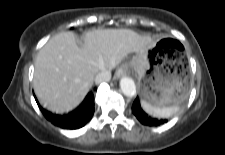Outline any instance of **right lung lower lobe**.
I'll list each match as a JSON object with an SVG mask.
<instances>
[{"label":"right lung lower lobe","instance_id":"obj_1","mask_svg":"<svg viewBox=\"0 0 225 155\" xmlns=\"http://www.w3.org/2000/svg\"><path fill=\"white\" fill-rule=\"evenodd\" d=\"M41 112L52 124L64 129H78L83 127L94 114V98L92 92L84 102L74 111L66 115H56L44 110L36 100Z\"/></svg>","mask_w":225,"mask_h":155}]
</instances>
